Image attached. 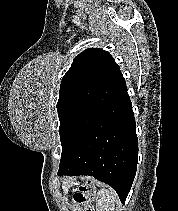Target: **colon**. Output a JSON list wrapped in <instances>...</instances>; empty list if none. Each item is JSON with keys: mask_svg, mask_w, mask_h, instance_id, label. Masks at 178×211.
<instances>
[{"mask_svg": "<svg viewBox=\"0 0 178 211\" xmlns=\"http://www.w3.org/2000/svg\"><path fill=\"white\" fill-rule=\"evenodd\" d=\"M73 202L77 205H84L85 211H94L91 203L95 199V187L92 181L78 184L73 189Z\"/></svg>", "mask_w": 178, "mask_h": 211, "instance_id": "colon-1", "label": "colon"}]
</instances>
